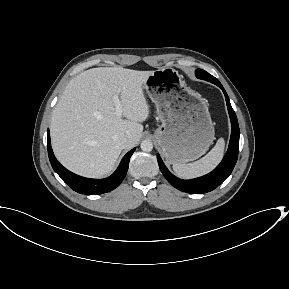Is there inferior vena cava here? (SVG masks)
<instances>
[{
  "label": "inferior vena cava",
  "instance_id": "inferior-vena-cava-1",
  "mask_svg": "<svg viewBox=\"0 0 289 289\" xmlns=\"http://www.w3.org/2000/svg\"><path fill=\"white\" fill-rule=\"evenodd\" d=\"M117 143L118 145L121 147V148H125L127 143H128V138L123 136V137H120L118 140H117Z\"/></svg>",
  "mask_w": 289,
  "mask_h": 289
}]
</instances>
